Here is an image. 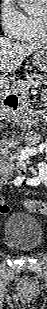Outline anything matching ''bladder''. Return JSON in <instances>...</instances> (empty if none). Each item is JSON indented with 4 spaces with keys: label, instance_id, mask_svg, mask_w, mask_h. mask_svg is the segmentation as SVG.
<instances>
[{
    "label": "bladder",
    "instance_id": "bladder-1",
    "mask_svg": "<svg viewBox=\"0 0 47 309\" xmlns=\"http://www.w3.org/2000/svg\"><path fill=\"white\" fill-rule=\"evenodd\" d=\"M4 241L15 251L33 252L42 245L43 230L33 216L26 213H14L5 222Z\"/></svg>",
    "mask_w": 47,
    "mask_h": 309
}]
</instances>
